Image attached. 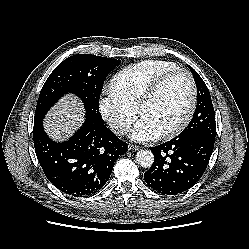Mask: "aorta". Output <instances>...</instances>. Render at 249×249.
<instances>
[{
  "label": "aorta",
  "mask_w": 249,
  "mask_h": 249,
  "mask_svg": "<svg viewBox=\"0 0 249 249\" xmlns=\"http://www.w3.org/2000/svg\"><path fill=\"white\" fill-rule=\"evenodd\" d=\"M136 162L143 168H150L154 163V154L151 150L141 149L136 154Z\"/></svg>",
  "instance_id": "762f6f07"
}]
</instances>
